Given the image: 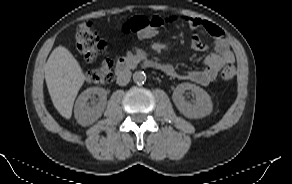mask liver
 I'll use <instances>...</instances> for the list:
<instances>
[{
  "label": "liver",
  "instance_id": "6515ba94",
  "mask_svg": "<svg viewBox=\"0 0 292 184\" xmlns=\"http://www.w3.org/2000/svg\"><path fill=\"white\" fill-rule=\"evenodd\" d=\"M44 70L54 107L70 119L75 98L86 79L82 68L68 49L58 46L50 54Z\"/></svg>",
  "mask_w": 292,
  "mask_h": 184
}]
</instances>
